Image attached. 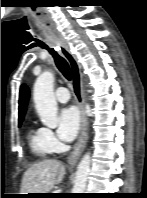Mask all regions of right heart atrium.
I'll list each match as a JSON object with an SVG mask.
<instances>
[{
  "label": "right heart atrium",
  "instance_id": "obj_1",
  "mask_svg": "<svg viewBox=\"0 0 147 198\" xmlns=\"http://www.w3.org/2000/svg\"><path fill=\"white\" fill-rule=\"evenodd\" d=\"M44 141L51 152H54L59 147L58 139L56 138L54 132L49 128H42Z\"/></svg>",
  "mask_w": 147,
  "mask_h": 198
}]
</instances>
